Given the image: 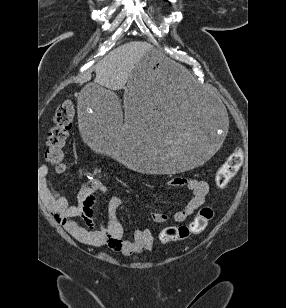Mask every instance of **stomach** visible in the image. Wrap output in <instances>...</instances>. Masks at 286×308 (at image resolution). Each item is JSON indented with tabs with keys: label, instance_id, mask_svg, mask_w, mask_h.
<instances>
[{
	"label": "stomach",
	"instance_id": "1",
	"mask_svg": "<svg viewBox=\"0 0 286 308\" xmlns=\"http://www.w3.org/2000/svg\"><path fill=\"white\" fill-rule=\"evenodd\" d=\"M223 107L216 91L193 81L183 60L154 51L137 60L124 103L108 85H85L75 103L76 124L90 149H105L108 161L116 156L153 177H178L207 164L219 144H227Z\"/></svg>",
	"mask_w": 286,
	"mask_h": 308
}]
</instances>
